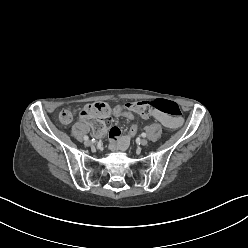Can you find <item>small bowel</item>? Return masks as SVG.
Returning a JSON list of instances; mask_svg holds the SVG:
<instances>
[{"mask_svg": "<svg viewBox=\"0 0 248 248\" xmlns=\"http://www.w3.org/2000/svg\"><path fill=\"white\" fill-rule=\"evenodd\" d=\"M124 110L126 109L122 107H118L117 111L115 112L111 111L110 114L123 117L122 113ZM153 115L154 118L166 128L173 129L181 126L182 124L181 118H175L163 112L154 111ZM106 137L108 140H110L109 148L111 150H119V151L126 150V148L129 145L130 139L132 138L129 136L128 132L126 134H122L121 130L117 126L108 128L106 131Z\"/></svg>", "mask_w": 248, "mask_h": 248, "instance_id": "small-bowel-1", "label": "small bowel"}]
</instances>
